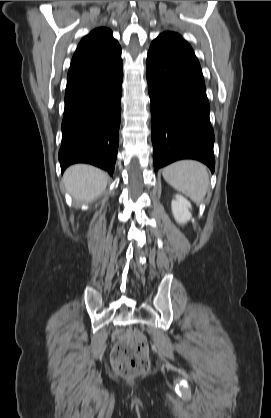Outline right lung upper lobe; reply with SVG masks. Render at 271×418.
Segmentation results:
<instances>
[{"mask_svg":"<svg viewBox=\"0 0 271 418\" xmlns=\"http://www.w3.org/2000/svg\"><path fill=\"white\" fill-rule=\"evenodd\" d=\"M121 61V47L111 30L101 27L82 38L71 60L66 93L96 79Z\"/></svg>","mask_w":271,"mask_h":418,"instance_id":"cb5924a9","label":"right lung upper lobe"}]
</instances>
